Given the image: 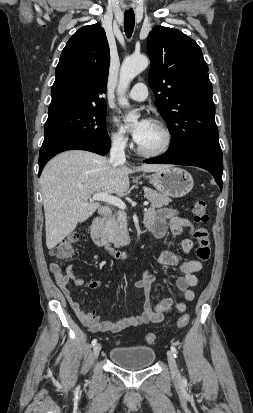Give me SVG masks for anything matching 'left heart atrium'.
Segmentation results:
<instances>
[{
    "label": "left heart atrium",
    "mask_w": 253,
    "mask_h": 413,
    "mask_svg": "<svg viewBox=\"0 0 253 413\" xmlns=\"http://www.w3.org/2000/svg\"><path fill=\"white\" fill-rule=\"evenodd\" d=\"M152 123L153 122L150 119L142 118L128 128L136 143H139L142 140Z\"/></svg>",
    "instance_id": "1"
}]
</instances>
